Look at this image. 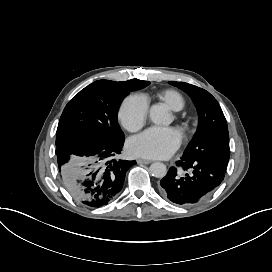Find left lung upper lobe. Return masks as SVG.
I'll list each match as a JSON object with an SVG mask.
<instances>
[{
	"instance_id": "1",
	"label": "left lung upper lobe",
	"mask_w": 272,
	"mask_h": 272,
	"mask_svg": "<svg viewBox=\"0 0 272 272\" xmlns=\"http://www.w3.org/2000/svg\"><path fill=\"white\" fill-rule=\"evenodd\" d=\"M187 93L194 102L198 116V129L182 159H214L228 164L230 157L227 122L217 100L197 86L170 81Z\"/></svg>"
}]
</instances>
